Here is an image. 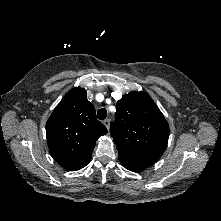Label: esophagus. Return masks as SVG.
I'll return each instance as SVG.
<instances>
[{
  "label": "esophagus",
  "mask_w": 221,
  "mask_h": 221,
  "mask_svg": "<svg viewBox=\"0 0 221 221\" xmlns=\"http://www.w3.org/2000/svg\"><path fill=\"white\" fill-rule=\"evenodd\" d=\"M103 124L106 126L107 129H109V127H110V119H105L103 121Z\"/></svg>",
  "instance_id": "esophagus-1"
}]
</instances>
